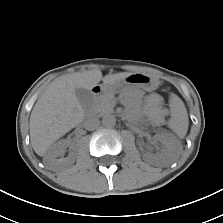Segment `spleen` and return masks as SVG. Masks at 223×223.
I'll return each mask as SVG.
<instances>
[{
	"mask_svg": "<svg viewBox=\"0 0 223 223\" xmlns=\"http://www.w3.org/2000/svg\"><path fill=\"white\" fill-rule=\"evenodd\" d=\"M170 106L172 110L171 126L182 137L186 134L188 128L187 110L182 100L176 95L171 96Z\"/></svg>",
	"mask_w": 223,
	"mask_h": 223,
	"instance_id": "3e777b00",
	"label": "spleen"
}]
</instances>
